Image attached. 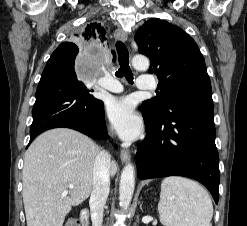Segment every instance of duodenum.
Masks as SVG:
<instances>
[{
	"instance_id": "obj_1",
	"label": "duodenum",
	"mask_w": 247,
	"mask_h": 226,
	"mask_svg": "<svg viewBox=\"0 0 247 226\" xmlns=\"http://www.w3.org/2000/svg\"><path fill=\"white\" fill-rule=\"evenodd\" d=\"M80 221L82 226H88L89 225V210L88 209H82L80 212Z\"/></svg>"
}]
</instances>
